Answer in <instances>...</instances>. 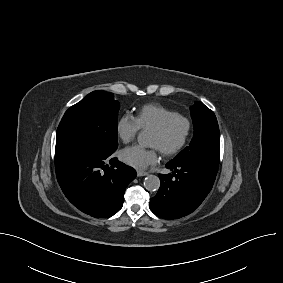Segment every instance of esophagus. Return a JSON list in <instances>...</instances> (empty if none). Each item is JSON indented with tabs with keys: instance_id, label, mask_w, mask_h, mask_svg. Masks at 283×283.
<instances>
[{
	"instance_id": "34e87169",
	"label": "esophagus",
	"mask_w": 283,
	"mask_h": 283,
	"mask_svg": "<svg viewBox=\"0 0 283 283\" xmlns=\"http://www.w3.org/2000/svg\"><path fill=\"white\" fill-rule=\"evenodd\" d=\"M147 175H148L147 172H144V171H137V176H138V177L147 176Z\"/></svg>"
}]
</instances>
